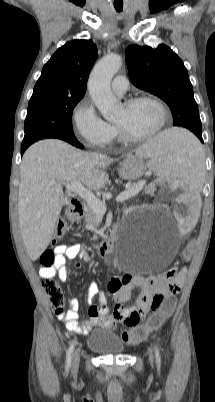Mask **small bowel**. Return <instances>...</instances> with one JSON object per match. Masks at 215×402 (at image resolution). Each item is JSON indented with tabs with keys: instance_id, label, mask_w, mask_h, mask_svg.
Here are the masks:
<instances>
[{
	"instance_id": "c3829d8e",
	"label": "small bowel",
	"mask_w": 215,
	"mask_h": 402,
	"mask_svg": "<svg viewBox=\"0 0 215 402\" xmlns=\"http://www.w3.org/2000/svg\"><path fill=\"white\" fill-rule=\"evenodd\" d=\"M78 255L88 262L90 260L84 247L78 243L67 245L61 244L55 248L56 261L53 267L40 269L42 278L57 276L60 281L67 280L69 272L77 269L80 263L74 261L67 265V260H74ZM184 281V272L177 273L173 278L166 279L162 275L142 276L124 275L116 276L108 283L107 290L114 297L116 307L113 314H108L107 294L100 290L95 282L89 284L87 301L89 307V319L79 320V302L77 299L70 300V309L67 313L59 316L64 321L68 331L86 335L91 328L99 325L104 328H112L117 324L133 326L142 319L146 313L152 309L153 298L155 295L169 296L178 293ZM134 288H139L141 293L136 304L131 307H123L122 304L131 299ZM97 296L99 305H92V299ZM134 318H138L134 321Z\"/></svg>"
}]
</instances>
